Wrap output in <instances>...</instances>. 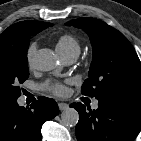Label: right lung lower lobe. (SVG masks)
<instances>
[{
  "mask_svg": "<svg viewBox=\"0 0 141 141\" xmlns=\"http://www.w3.org/2000/svg\"><path fill=\"white\" fill-rule=\"evenodd\" d=\"M59 113L57 103L39 97L29 107H20L17 100L0 103V141H41V127Z\"/></svg>",
  "mask_w": 141,
  "mask_h": 141,
  "instance_id": "1",
  "label": "right lung lower lobe"
}]
</instances>
